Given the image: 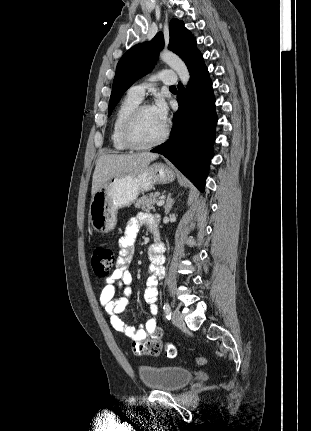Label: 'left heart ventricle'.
<instances>
[{"label":"left heart ventricle","mask_w":311,"mask_h":431,"mask_svg":"<svg viewBox=\"0 0 311 431\" xmlns=\"http://www.w3.org/2000/svg\"><path fill=\"white\" fill-rule=\"evenodd\" d=\"M165 125H163L151 107L147 108L137 126V136L140 140L148 142L157 139L164 132Z\"/></svg>","instance_id":"obj_1"}]
</instances>
